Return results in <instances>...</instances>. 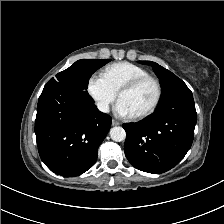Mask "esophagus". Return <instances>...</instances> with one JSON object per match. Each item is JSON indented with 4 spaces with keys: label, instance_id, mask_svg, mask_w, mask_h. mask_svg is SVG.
Here are the masks:
<instances>
[{
    "label": "esophagus",
    "instance_id": "esophagus-1",
    "mask_svg": "<svg viewBox=\"0 0 224 224\" xmlns=\"http://www.w3.org/2000/svg\"><path fill=\"white\" fill-rule=\"evenodd\" d=\"M112 125L113 126H117V125H120V122L119 121H117V120H112Z\"/></svg>",
    "mask_w": 224,
    "mask_h": 224
}]
</instances>
